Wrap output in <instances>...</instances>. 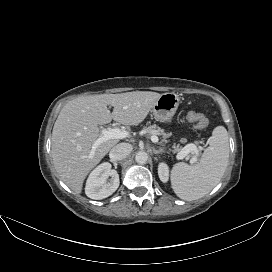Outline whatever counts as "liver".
I'll return each instance as SVG.
<instances>
[{
    "instance_id": "liver-1",
    "label": "liver",
    "mask_w": 272,
    "mask_h": 272,
    "mask_svg": "<svg viewBox=\"0 0 272 272\" xmlns=\"http://www.w3.org/2000/svg\"><path fill=\"white\" fill-rule=\"evenodd\" d=\"M161 94L133 91L77 97L61 109L52 131L51 152L56 171L74 192L81 193L88 173L114 147L118 139L106 140L92 149L102 136L98 125L114 121L140 124ZM113 106L112 113L107 106Z\"/></svg>"
}]
</instances>
